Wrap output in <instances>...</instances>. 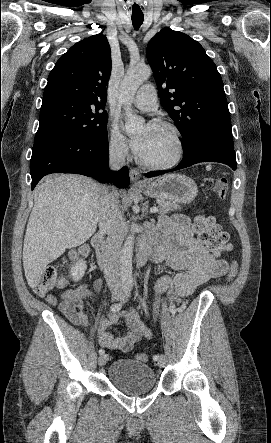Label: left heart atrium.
<instances>
[{
    "mask_svg": "<svg viewBox=\"0 0 271 443\" xmlns=\"http://www.w3.org/2000/svg\"><path fill=\"white\" fill-rule=\"evenodd\" d=\"M151 125H145L141 131L132 139L131 146L133 150L141 155L147 146Z\"/></svg>",
    "mask_w": 271,
    "mask_h": 443,
    "instance_id": "obj_1",
    "label": "left heart atrium"
}]
</instances>
